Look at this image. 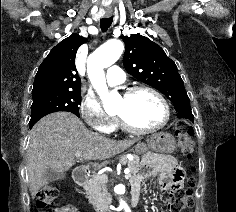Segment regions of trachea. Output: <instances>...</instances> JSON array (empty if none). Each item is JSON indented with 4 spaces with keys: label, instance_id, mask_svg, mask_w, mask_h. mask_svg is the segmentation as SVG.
Here are the masks:
<instances>
[{
    "label": "trachea",
    "instance_id": "1",
    "mask_svg": "<svg viewBox=\"0 0 236 212\" xmlns=\"http://www.w3.org/2000/svg\"><path fill=\"white\" fill-rule=\"evenodd\" d=\"M112 21H113V16L101 19L100 28H101L102 32H106L108 30V28L112 24Z\"/></svg>",
    "mask_w": 236,
    "mask_h": 212
}]
</instances>
